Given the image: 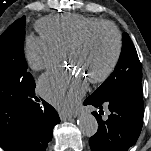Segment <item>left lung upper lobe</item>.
<instances>
[{
  "mask_svg": "<svg viewBox=\"0 0 151 151\" xmlns=\"http://www.w3.org/2000/svg\"><path fill=\"white\" fill-rule=\"evenodd\" d=\"M142 80V69L135 46L127 33L122 35V50L114 72L90 96L107 101L126 84Z\"/></svg>",
  "mask_w": 151,
  "mask_h": 151,
  "instance_id": "5c2ea615",
  "label": "left lung upper lobe"
}]
</instances>
